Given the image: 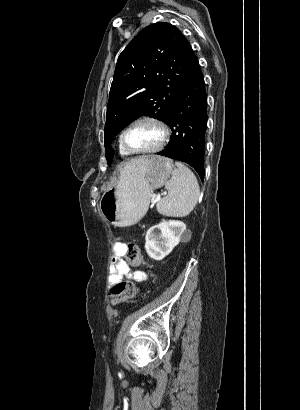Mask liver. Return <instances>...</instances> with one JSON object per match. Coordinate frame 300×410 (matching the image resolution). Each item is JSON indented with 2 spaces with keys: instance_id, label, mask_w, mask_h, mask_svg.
<instances>
[{
  "instance_id": "liver-1",
  "label": "liver",
  "mask_w": 300,
  "mask_h": 410,
  "mask_svg": "<svg viewBox=\"0 0 300 410\" xmlns=\"http://www.w3.org/2000/svg\"><path fill=\"white\" fill-rule=\"evenodd\" d=\"M147 157H141L138 159H132L131 161H129L126 165L127 167H135L136 165H141L144 164L146 162Z\"/></svg>"
}]
</instances>
